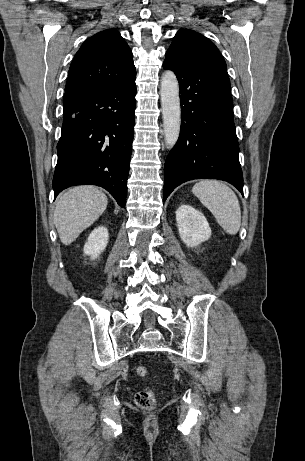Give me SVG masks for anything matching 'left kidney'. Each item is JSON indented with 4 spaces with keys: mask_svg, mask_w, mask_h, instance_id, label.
Segmentation results:
<instances>
[{
    "mask_svg": "<svg viewBox=\"0 0 305 461\" xmlns=\"http://www.w3.org/2000/svg\"><path fill=\"white\" fill-rule=\"evenodd\" d=\"M176 221L180 238L190 248L197 247L211 236L205 216L190 205L183 204L176 210Z\"/></svg>",
    "mask_w": 305,
    "mask_h": 461,
    "instance_id": "obj_1",
    "label": "left kidney"
}]
</instances>
